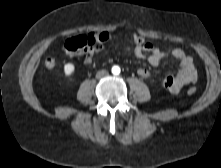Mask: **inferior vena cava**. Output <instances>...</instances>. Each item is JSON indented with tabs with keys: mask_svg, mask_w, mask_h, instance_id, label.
Returning a JSON list of instances; mask_svg holds the SVG:
<instances>
[{
	"mask_svg": "<svg viewBox=\"0 0 221 168\" xmlns=\"http://www.w3.org/2000/svg\"><path fill=\"white\" fill-rule=\"evenodd\" d=\"M108 75H109V73L106 70H100L96 73V78L101 79V78L106 77Z\"/></svg>",
	"mask_w": 221,
	"mask_h": 168,
	"instance_id": "1",
	"label": "inferior vena cava"
}]
</instances>
